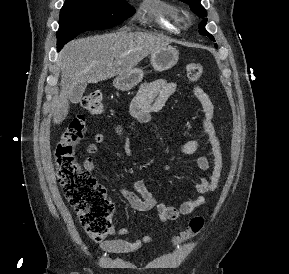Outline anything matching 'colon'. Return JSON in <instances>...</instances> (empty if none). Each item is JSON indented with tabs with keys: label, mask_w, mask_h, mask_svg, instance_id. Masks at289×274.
I'll list each match as a JSON object with an SVG mask.
<instances>
[{
	"label": "colon",
	"mask_w": 289,
	"mask_h": 274,
	"mask_svg": "<svg viewBox=\"0 0 289 274\" xmlns=\"http://www.w3.org/2000/svg\"><path fill=\"white\" fill-rule=\"evenodd\" d=\"M202 73L203 66L199 62L189 63L186 67L187 78L191 82L199 80ZM81 103L92 115L101 114L104 108L103 97L99 92L88 94ZM86 131L84 117L75 116L56 144L55 166L64 196L76 211L86 233L94 240H102L111 232L114 204L107 198L106 189L90 172L84 170L76 159V147ZM204 225L203 216L193 217L187 229L175 242L190 240L201 232Z\"/></svg>",
	"instance_id": "5ec220e1"
}]
</instances>
